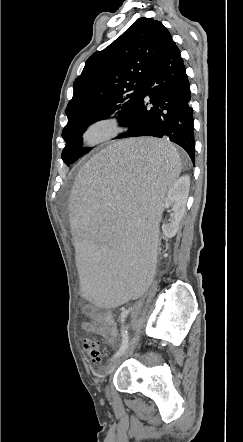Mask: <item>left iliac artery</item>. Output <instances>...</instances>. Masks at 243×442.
<instances>
[{
	"instance_id": "left-iliac-artery-1",
	"label": "left iliac artery",
	"mask_w": 243,
	"mask_h": 442,
	"mask_svg": "<svg viewBox=\"0 0 243 442\" xmlns=\"http://www.w3.org/2000/svg\"><path fill=\"white\" fill-rule=\"evenodd\" d=\"M130 309H126L121 313L120 321H121V332H122V344L118 351L113 355V358L120 356L127 348L129 342L128 332L125 329V319L129 315Z\"/></svg>"
}]
</instances>
